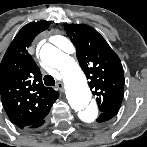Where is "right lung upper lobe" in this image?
Here are the masks:
<instances>
[{
    "label": "right lung upper lobe",
    "mask_w": 147,
    "mask_h": 147,
    "mask_svg": "<svg viewBox=\"0 0 147 147\" xmlns=\"http://www.w3.org/2000/svg\"><path fill=\"white\" fill-rule=\"evenodd\" d=\"M50 25L49 21L31 22L15 36L0 64V94L3 107L19 128L43 120L59 97L58 91L45 87L41 72L27 48Z\"/></svg>",
    "instance_id": "obj_1"
}]
</instances>
